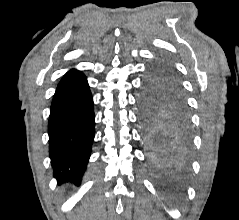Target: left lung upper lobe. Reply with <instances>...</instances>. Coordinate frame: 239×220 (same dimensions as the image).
Returning a JSON list of instances; mask_svg holds the SVG:
<instances>
[{
    "instance_id": "left-lung-upper-lobe-1",
    "label": "left lung upper lobe",
    "mask_w": 239,
    "mask_h": 220,
    "mask_svg": "<svg viewBox=\"0 0 239 220\" xmlns=\"http://www.w3.org/2000/svg\"><path fill=\"white\" fill-rule=\"evenodd\" d=\"M141 110L143 125L149 131L159 127L171 112H186L178 74L166 59L158 60L149 69Z\"/></svg>"
}]
</instances>
